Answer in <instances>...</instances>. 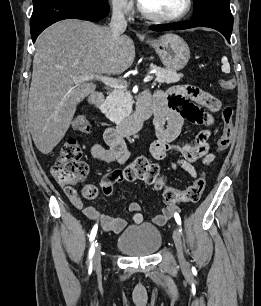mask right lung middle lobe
Wrapping results in <instances>:
<instances>
[{"label":"right lung middle lobe","instance_id":"right-lung-middle-lobe-1","mask_svg":"<svg viewBox=\"0 0 261 306\" xmlns=\"http://www.w3.org/2000/svg\"><path fill=\"white\" fill-rule=\"evenodd\" d=\"M88 1L109 8L108 0H88Z\"/></svg>","mask_w":261,"mask_h":306}]
</instances>
